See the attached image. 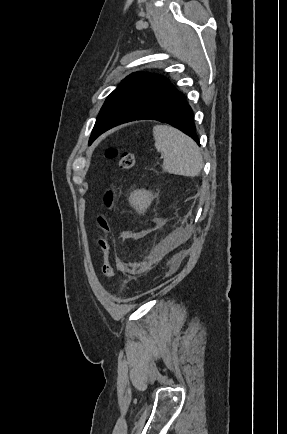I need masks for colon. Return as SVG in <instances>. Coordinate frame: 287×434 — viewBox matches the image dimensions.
<instances>
[{"label":"colon","mask_w":287,"mask_h":434,"mask_svg":"<svg viewBox=\"0 0 287 434\" xmlns=\"http://www.w3.org/2000/svg\"><path fill=\"white\" fill-rule=\"evenodd\" d=\"M106 154L110 158H117L119 167L124 172H129L135 165V156L133 152L129 150H116L110 148L106 151ZM119 196V190L117 183H112L104 194V207L106 213L99 214L96 218L97 224L102 231V236L99 238V246L103 251V263L101 267L102 275L106 279H110L113 276L114 270L111 260V226L109 215L116 209V203Z\"/></svg>","instance_id":"5ec220e1"}]
</instances>
